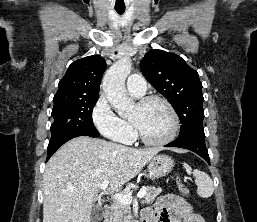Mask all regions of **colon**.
Listing matches in <instances>:
<instances>
[{"instance_id": "5ec220e1", "label": "colon", "mask_w": 257, "mask_h": 222, "mask_svg": "<svg viewBox=\"0 0 257 222\" xmlns=\"http://www.w3.org/2000/svg\"><path fill=\"white\" fill-rule=\"evenodd\" d=\"M177 186L182 194L186 195L188 193L187 186L180 179L177 180Z\"/></svg>"}]
</instances>
